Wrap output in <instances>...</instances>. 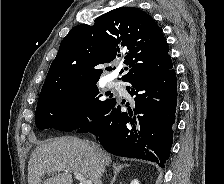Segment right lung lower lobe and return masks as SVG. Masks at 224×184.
<instances>
[{
	"label": "right lung lower lobe",
	"mask_w": 224,
	"mask_h": 184,
	"mask_svg": "<svg viewBox=\"0 0 224 184\" xmlns=\"http://www.w3.org/2000/svg\"><path fill=\"white\" fill-rule=\"evenodd\" d=\"M135 96L134 112H122L113 99L99 117L79 128L91 132L111 154L152 161L163 167L169 158L177 105V80L173 65L127 80Z\"/></svg>",
	"instance_id": "1"
}]
</instances>
